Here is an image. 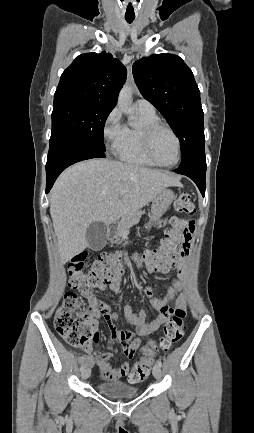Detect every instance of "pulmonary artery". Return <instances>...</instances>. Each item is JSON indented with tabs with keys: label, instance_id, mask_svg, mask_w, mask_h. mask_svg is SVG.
I'll list each match as a JSON object with an SVG mask.
<instances>
[{
	"label": "pulmonary artery",
	"instance_id": "e3ab8cb5",
	"mask_svg": "<svg viewBox=\"0 0 254 433\" xmlns=\"http://www.w3.org/2000/svg\"><path fill=\"white\" fill-rule=\"evenodd\" d=\"M138 111L153 113L155 112L154 106L145 99H138L136 101Z\"/></svg>",
	"mask_w": 254,
	"mask_h": 433
}]
</instances>
